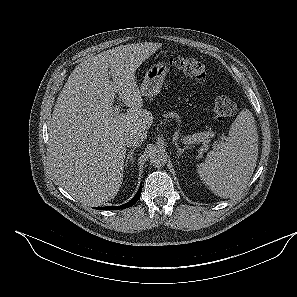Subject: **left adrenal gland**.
<instances>
[{"mask_svg": "<svg viewBox=\"0 0 297 297\" xmlns=\"http://www.w3.org/2000/svg\"><path fill=\"white\" fill-rule=\"evenodd\" d=\"M175 146L177 148V156L180 157L183 152L188 149V147H183V148H180L179 145L177 143H175Z\"/></svg>", "mask_w": 297, "mask_h": 297, "instance_id": "1", "label": "left adrenal gland"}]
</instances>
